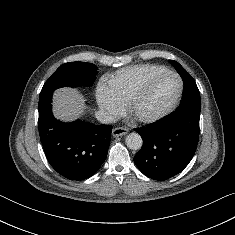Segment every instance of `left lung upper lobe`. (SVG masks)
I'll return each mask as SVG.
<instances>
[{"instance_id": "obj_1", "label": "left lung upper lobe", "mask_w": 235, "mask_h": 235, "mask_svg": "<svg viewBox=\"0 0 235 235\" xmlns=\"http://www.w3.org/2000/svg\"><path fill=\"white\" fill-rule=\"evenodd\" d=\"M169 62L175 67L184 83L183 98L179 108L185 106L201 107L200 93L195 80L178 62L174 60H169Z\"/></svg>"}]
</instances>
